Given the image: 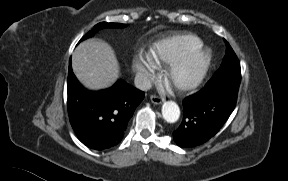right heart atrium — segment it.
<instances>
[{
	"label": "right heart atrium",
	"mask_w": 288,
	"mask_h": 181,
	"mask_svg": "<svg viewBox=\"0 0 288 181\" xmlns=\"http://www.w3.org/2000/svg\"><path fill=\"white\" fill-rule=\"evenodd\" d=\"M157 68V63L146 56L145 58H135L133 61V69L142 78H148Z\"/></svg>",
	"instance_id": "1"
}]
</instances>
